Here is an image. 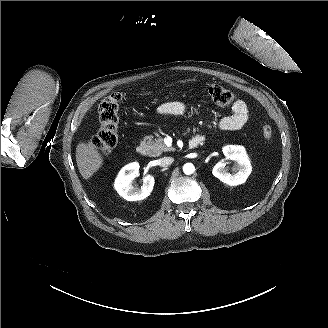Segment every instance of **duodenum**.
Returning <instances> with one entry per match:
<instances>
[{"mask_svg":"<svg viewBox=\"0 0 328 328\" xmlns=\"http://www.w3.org/2000/svg\"><path fill=\"white\" fill-rule=\"evenodd\" d=\"M205 138L202 135H197L195 137H193L190 142H189V148L190 149H195L197 148L199 145H201L204 142ZM136 152L139 155L145 156L148 154V146L144 143L139 144L136 147Z\"/></svg>","mask_w":328,"mask_h":328,"instance_id":"obj_1","label":"duodenum"}]
</instances>
